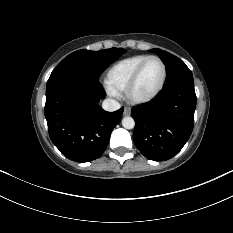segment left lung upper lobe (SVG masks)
<instances>
[{
  "label": "left lung upper lobe",
  "instance_id": "5c2ea615",
  "mask_svg": "<svg viewBox=\"0 0 233 233\" xmlns=\"http://www.w3.org/2000/svg\"><path fill=\"white\" fill-rule=\"evenodd\" d=\"M152 51L160 56L167 67V79L164 87L181 82L193 83L192 73L182 60L158 48H154Z\"/></svg>",
  "mask_w": 233,
  "mask_h": 233
}]
</instances>
